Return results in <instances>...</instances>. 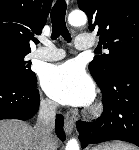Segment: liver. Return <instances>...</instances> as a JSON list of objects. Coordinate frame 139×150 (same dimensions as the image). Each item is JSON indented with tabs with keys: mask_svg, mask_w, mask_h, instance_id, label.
<instances>
[{
	"mask_svg": "<svg viewBox=\"0 0 139 150\" xmlns=\"http://www.w3.org/2000/svg\"><path fill=\"white\" fill-rule=\"evenodd\" d=\"M58 146L54 140V150ZM35 129L19 120L0 121V150H39Z\"/></svg>",
	"mask_w": 139,
	"mask_h": 150,
	"instance_id": "liver-1",
	"label": "liver"
}]
</instances>
